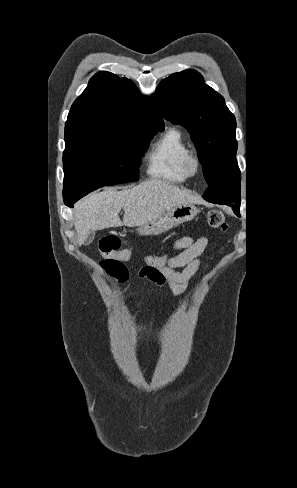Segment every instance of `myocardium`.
<instances>
[{
	"mask_svg": "<svg viewBox=\"0 0 297 488\" xmlns=\"http://www.w3.org/2000/svg\"><path fill=\"white\" fill-rule=\"evenodd\" d=\"M183 167L189 177L195 176L201 169V159L196 151L190 150L183 160Z\"/></svg>",
	"mask_w": 297,
	"mask_h": 488,
	"instance_id": "f54148a6",
	"label": "myocardium"
}]
</instances>
